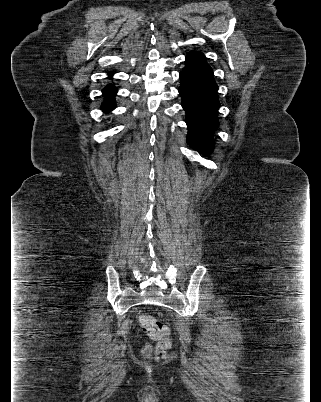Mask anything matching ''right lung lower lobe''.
I'll return each instance as SVG.
<instances>
[{
    "instance_id": "right-lung-lower-lobe-1",
    "label": "right lung lower lobe",
    "mask_w": 321,
    "mask_h": 402,
    "mask_svg": "<svg viewBox=\"0 0 321 402\" xmlns=\"http://www.w3.org/2000/svg\"><path fill=\"white\" fill-rule=\"evenodd\" d=\"M110 76L112 73L109 74ZM117 89L115 86L112 84H109L103 89V94L106 97L105 101L103 102L101 109L104 112H109L115 108V95H116Z\"/></svg>"
}]
</instances>
